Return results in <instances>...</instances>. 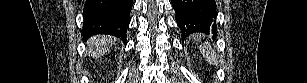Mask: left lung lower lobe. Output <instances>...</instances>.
Instances as JSON below:
<instances>
[{"mask_svg": "<svg viewBox=\"0 0 307 83\" xmlns=\"http://www.w3.org/2000/svg\"><path fill=\"white\" fill-rule=\"evenodd\" d=\"M172 5L183 39L192 33L212 34L216 37L215 0H172Z\"/></svg>", "mask_w": 307, "mask_h": 83, "instance_id": "left-lung-lower-lobe-1", "label": "left lung lower lobe"}]
</instances>
